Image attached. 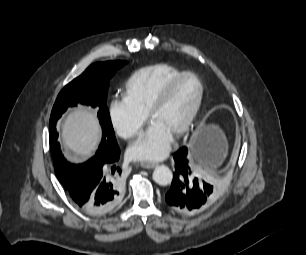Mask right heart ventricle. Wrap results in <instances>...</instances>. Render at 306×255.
I'll return each mask as SVG.
<instances>
[{"label":"right heart ventricle","instance_id":"obj_1","mask_svg":"<svg viewBox=\"0 0 306 255\" xmlns=\"http://www.w3.org/2000/svg\"><path fill=\"white\" fill-rule=\"evenodd\" d=\"M183 71L179 68L158 63L135 71L124 86V100L136 111L146 116L147 111L164 86Z\"/></svg>","mask_w":306,"mask_h":255}]
</instances>
